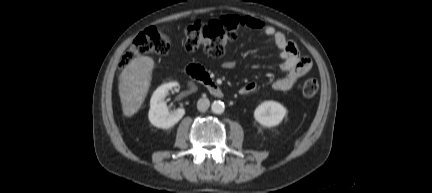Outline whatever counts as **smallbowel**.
Wrapping results in <instances>:
<instances>
[{"mask_svg": "<svg viewBox=\"0 0 432 193\" xmlns=\"http://www.w3.org/2000/svg\"><path fill=\"white\" fill-rule=\"evenodd\" d=\"M222 21L235 28H245L262 33L273 41L277 47V54L281 59L279 68L285 75L275 80L272 88L284 92L294 87L298 80L307 74L312 68V60L301 55L297 45L288 40L286 36L273 26L250 16H226ZM235 60H227L221 64L223 69H232L236 66ZM257 90V84L248 82L240 89L241 95H250Z\"/></svg>", "mask_w": 432, "mask_h": 193, "instance_id": "small-bowel-1", "label": "small bowel"}]
</instances>
